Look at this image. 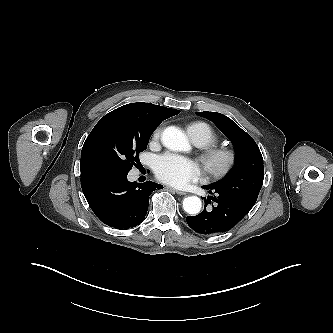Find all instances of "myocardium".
I'll list each match as a JSON object with an SVG mask.
<instances>
[{
  "instance_id": "1",
  "label": "myocardium",
  "mask_w": 333,
  "mask_h": 333,
  "mask_svg": "<svg viewBox=\"0 0 333 333\" xmlns=\"http://www.w3.org/2000/svg\"><path fill=\"white\" fill-rule=\"evenodd\" d=\"M200 159L205 173L211 178L220 179L235 168L238 154L233 148L211 146L204 149Z\"/></svg>"
}]
</instances>
